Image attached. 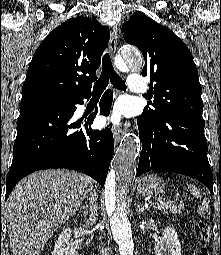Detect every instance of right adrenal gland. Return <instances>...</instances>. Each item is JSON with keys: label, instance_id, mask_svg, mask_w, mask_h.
<instances>
[{"label": "right adrenal gland", "instance_id": "right-adrenal-gland-1", "mask_svg": "<svg viewBox=\"0 0 221 255\" xmlns=\"http://www.w3.org/2000/svg\"><path fill=\"white\" fill-rule=\"evenodd\" d=\"M88 208H89L88 204L81 206V209L83 210V214L85 216H87L89 214Z\"/></svg>", "mask_w": 221, "mask_h": 255}]
</instances>
